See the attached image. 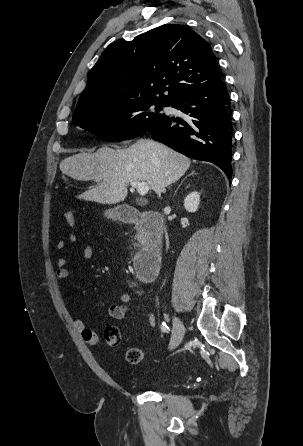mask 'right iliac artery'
<instances>
[{"mask_svg":"<svg viewBox=\"0 0 303 446\" xmlns=\"http://www.w3.org/2000/svg\"><path fill=\"white\" fill-rule=\"evenodd\" d=\"M161 330L165 333H169L170 329L168 327V325L165 322H162L161 324Z\"/></svg>","mask_w":303,"mask_h":446,"instance_id":"obj_1","label":"right iliac artery"}]
</instances>
